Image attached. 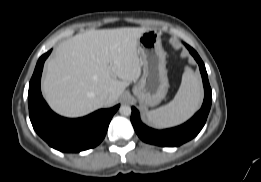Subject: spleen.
<instances>
[{
    "label": "spleen",
    "instance_id": "3e777b00",
    "mask_svg": "<svg viewBox=\"0 0 261 182\" xmlns=\"http://www.w3.org/2000/svg\"><path fill=\"white\" fill-rule=\"evenodd\" d=\"M202 96L199 77L187 67L174 99L165 106L149 111L147 118L158 128L176 126L186 121L198 110Z\"/></svg>",
    "mask_w": 261,
    "mask_h": 182
}]
</instances>
